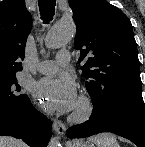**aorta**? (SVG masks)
I'll list each match as a JSON object with an SVG mask.
<instances>
[{"mask_svg":"<svg viewBox=\"0 0 145 147\" xmlns=\"http://www.w3.org/2000/svg\"><path fill=\"white\" fill-rule=\"evenodd\" d=\"M74 33L75 25L72 21H60L49 31L46 37V46L48 48L64 46L72 39ZM48 147H62V145L58 139L53 138Z\"/></svg>","mask_w":145,"mask_h":147,"instance_id":"obj_1","label":"aorta"}]
</instances>
